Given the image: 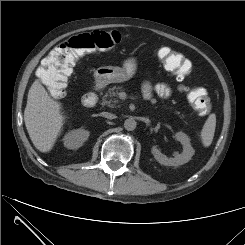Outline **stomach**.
I'll return each instance as SVG.
<instances>
[{
	"instance_id": "stomach-1",
	"label": "stomach",
	"mask_w": 245,
	"mask_h": 245,
	"mask_svg": "<svg viewBox=\"0 0 245 245\" xmlns=\"http://www.w3.org/2000/svg\"><path fill=\"white\" fill-rule=\"evenodd\" d=\"M137 70V60L130 57L122 67L101 66L94 72L95 81L102 85L121 83L131 79Z\"/></svg>"
}]
</instances>
